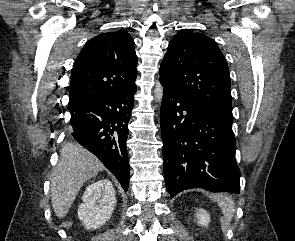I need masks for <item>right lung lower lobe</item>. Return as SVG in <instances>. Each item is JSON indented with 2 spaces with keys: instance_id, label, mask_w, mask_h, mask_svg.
<instances>
[{
  "instance_id": "right-lung-lower-lobe-1",
  "label": "right lung lower lobe",
  "mask_w": 295,
  "mask_h": 241,
  "mask_svg": "<svg viewBox=\"0 0 295 241\" xmlns=\"http://www.w3.org/2000/svg\"><path fill=\"white\" fill-rule=\"evenodd\" d=\"M136 85L96 96L69 109L71 136L95 154L128 190L129 163L126 149L128 122Z\"/></svg>"
}]
</instances>
